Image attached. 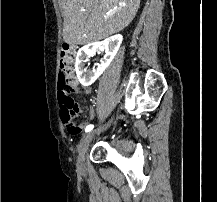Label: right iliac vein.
<instances>
[{"instance_id":"63e3f726","label":"right iliac vein","mask_w":217,"mask_h":202,"mask_svg":"<svg viewBox=\"0 0 217 202\" xmlns=\"http://www.w3.org/2000/svg\"><path fill=\"white\" fill-rule=\"evenodd\" d=\"M112 122H113V119H111L107 124L102 126L97 132L104 131L105 129H107L109 127L110 124H112ZM95 133H96L95 131L87 133L79 143L78 157H77L79 168L84 167L85 154H86V151H87L89 144H90L92 138L94 137Z\"/></svg>"}]
</instances>
